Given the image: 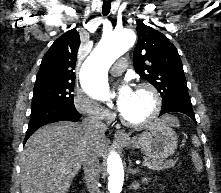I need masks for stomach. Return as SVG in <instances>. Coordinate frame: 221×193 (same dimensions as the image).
I'll list each match as a JSON object with an SVG mask.
<instances>
[{
	"instance_id": "1",
	"label": "stomach",
	"mask_w": 221,
	"mask_h": 193,
	"mask_svg": "<svg viewBox=\"0 0 221 193\" xmlns=\"http://www.w3.org/2000/svg\"><path fill=\"white\" fill-rule=\"evenodd\" d=\"M121 144L127 148H138L153 160H163L175 152L178 141L170 125L158 119L141 134L128 136Z\"/></svg>"
}]
</instances>
